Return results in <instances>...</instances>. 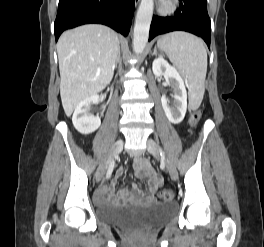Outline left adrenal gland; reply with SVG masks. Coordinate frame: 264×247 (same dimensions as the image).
I'll return each mask as SVG.
<instances>
[{"label": "left adrenal gland", "instance_id": "left-adrenal-gland-1", "mask_svg": "<svg viewBox=\"0 0 264 247\" xmlns=\"http://www.w3.org/2000/svg\"><path fill=\"white\" fill-rule=\"evenodd\" d=\"M152 55H157V49H156V47L154 48V51H153Z\"/></svg>", "mask_w": 264, "mask_h": 247}]
</instances>
